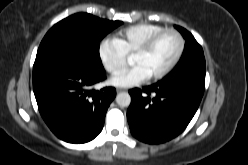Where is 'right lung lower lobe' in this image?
<instances>
[{
	"instance_id": "1",
	"label": "right lung lower lobe",
	"mask_w": 248,
	"mask_h": 165,
	"mask_svg": "<svg viewBox=\"0 0 248 165\" xmlns=\"http://www.w3.org/2000/svg\"><path fill=\"white\" fill-rule=\"evenodd\" d=\"M106 78L82 53L61 50L36 58L33 90L40 114L51 131L69 143L93 140L116 96L114 87L90 88Z\"/></svg>"
}]
</instances>
